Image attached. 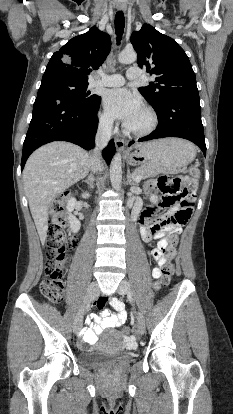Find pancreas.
Wrapping results in <instances>:
<instances>
[{"mask_svg": "<svg viewBox=\"0 0 233 414\" xmlns=\"http://www.w3.org/2000/svg\"><path fill=\"white\" fill-rule=\"evenodd\" d=\"M157 174H159L158 171L153 170V169L148 168V167H139V168H137L133 171V175L135 177L139 176V177H141V179H146V178H149V177H153Z\"/></svg>", "mask_w": 233, "mask_h": 414, "instance_id": "1", "label": "pancreas"}]
</instances>
